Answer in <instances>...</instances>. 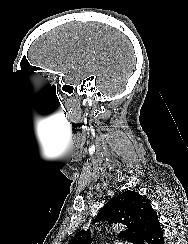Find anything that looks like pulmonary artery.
I'll use <instances>...</instances> for the list:
<instances>
[{"label":"pulmonary artery","instance_id":"pulmonary-artery-1","mask_svg":"<svg viewBox=\"0 0 188 244\" xmlns=\"http://www.w3.org/2000/svg\"><path fill=\"white\" fill-rule=\"evenodd\" d=\"M116 244H130L128 242H117Z\"/></svg>","mask_w":188,"mask_h":244}]
</instances>
